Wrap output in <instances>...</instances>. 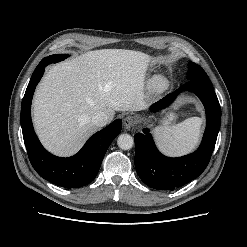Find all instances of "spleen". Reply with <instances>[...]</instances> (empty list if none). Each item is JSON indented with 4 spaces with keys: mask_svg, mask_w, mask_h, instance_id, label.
I'll list each match as a JSON object with an SVG mask.
<instances>
[{
    "mask_svg": "<svg viewBox=\"0 0 247 247\" xmlns=\"http://www.w3.org/2000/svg\"><path fill=\"white\" fill-rule=\"evenodd\" d=\"M202 119L191 117L174 126H159L154 129L159 149L171 156H180L192 151L198 144Z\"/></svg>",
    "mask_w": 247,
    "mask_h": 247,
    "instance_id": "obj_1",
    "label": "spleen"
}]
</instances>
